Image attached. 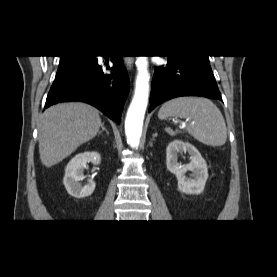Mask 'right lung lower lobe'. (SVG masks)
I'll return each mask as SVG.
<instances>
[{
    "label": "right lung lower lobe",
    "instance_id": "98d812e1",
    "mask_svg": "<svg viewBox=\"0 0 277 277\" xmlns=\"http://www.w3.org/2000/svg\"><path fill=\"white\" fill-rule=\"evenodd\" d=\"M105 59L93 56L84 65L56 79L46 100V107L65 101L86 102L120 123V115L129 91V78L122 56H111L113 67ZM111 69V74L104 73Z\"/></svg>",
    "mask_w": 277,
    "mask_h": 277
}]
</instances>
